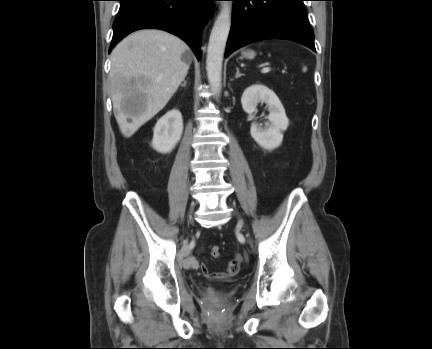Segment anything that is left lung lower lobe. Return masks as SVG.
Here are the masks:
<instances>
[{
	"label": "left lung lower lobe",
	"instance_id": "0a47b994",
	"mask_svg": "<svg viewBox=\"0 0 432 349\" xmlns=\"http://www.w3.org/2000/svg\"><path fill=\"white\" fill-rule=\"evenodd\" d=\"M233 20L225 57L263 39H286L315 51L314 34L304 9L305 0H231Z\"/></svg>",
	"mask_w": 432,
	"mask_h": 349
}]
</instances>
